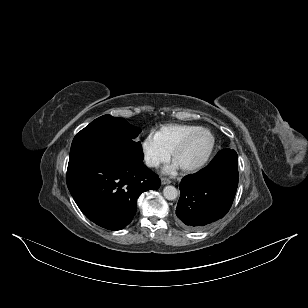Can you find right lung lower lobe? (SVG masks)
<instances>
[{"label": "right lung lower lobe", "mask_w": 308, "mask_h": 308, "mask_svg": "<svg viewBox=\"0 0 308 308\" xmlns=\"http://www.w3.org/2000/svg\"><path fill=\"white\" fill-rule=\"evenodd\" d=\"M66 179L82 213L109 230L126 227L135 216L141 193L160 186L157 175L142 161L112 156L69 160Z\"/></svg>", "instance_id": "right-lung-lower-lobe-1"}]
</instances>
